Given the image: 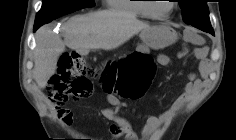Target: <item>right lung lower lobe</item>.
I'll use <instances>...</instances> for the list:
<instances>
[{"label": "right lung lower lobe", "mask_w": 236, "mask_h": 140, "mask_svg": "<svg viewBox=\"0 0 236 140\" xmlns=\"http://www.w3.org/2000/svg\"><path fill=\"white\" fill-rule=\"evenodd\" d=\"M40 26H34V32L39 28Z\"/></svg>", "instance_id": "98d812e1"}]
</instances>
